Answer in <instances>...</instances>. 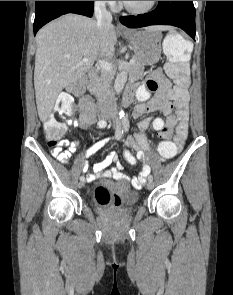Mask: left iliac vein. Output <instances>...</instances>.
<instances>
[{
	"label": "left iliac vein",
	"instance_id": "left-iliac-vein-1",
	"mask_svg": "<svg viewBox=\"0 0 233 295\" xmlns=\"http://www.w3.org/2000/svg\"><path fill=\"white\" fill-rule=\"evenodd\" d=\"M146 187H147L148 190H151L153 188L152 181H148V183L146 184Z\"/></svg>",
	"mask_w": 233,
	"mask_h": 295
}]
</instances>
